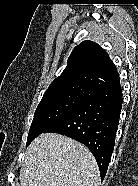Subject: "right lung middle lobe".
I'll list each match as a JSON object with an SVG mask.
<instances>
[{"label":"right lung middle lobe","mask_w":138,"mask_h":186,"mask_svg":"<svg viewBox=\"0 0 138 186\" xmlns=\"http://www.w3.org/2000/svg\"><path fill=\"white\" fill-rule=\"evenodd\" d=\"M92 89L83 86H69L46 91L39 103L28 133V146L37 136L45 133L53 124L83 104Z\"/></svg>","instance_id":"right-lung-middle-lobe-1"}]
</instances>
